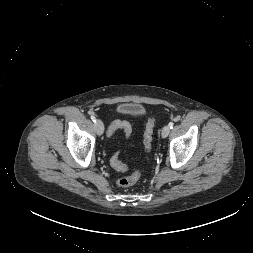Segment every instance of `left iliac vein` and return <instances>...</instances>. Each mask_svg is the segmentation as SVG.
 Segmentation results:
<instances>
[{
  "instance_id": "left-iliac-vein-1",
  "label": "left iliac vein",
  "mask_w": 253,
  "mask_h": 253,
  "mask_svg": "<svg viewBox=\"0 0 253 253\" xmlns=\"http://www.w3.org/2000/svg\"><path fill=\"white\" fill-rule=\"evenodd\" d=\"M169 133H170V127L169 125H165L162 129V133H161L162 137L166 138L169 135Z\"/></svg>"
}]
</instances>
